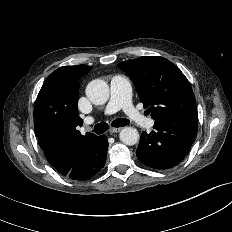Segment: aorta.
<instances>
[{
    "instance_id": "obj_1",
    "label": "aorta",
    "mask_w": 232,
    "mask_h": 232,
    "mask_svg": "<svg viewBox=\"0 0 232 232\" xmlns=\"http://www.w3.org/2000/svg\"><path fill=\"white\" fill-rule=\"evenodd\" d=\"M87 98L95 105L105 104L110 96L108 84L101 79L92 80L86 87ZM120 140L126 145H135L139 140V133L133 127H125L119 134Z\"/></svg>"
}]
</instances>
